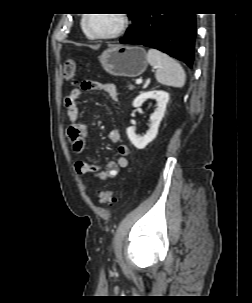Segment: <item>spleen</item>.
<instances>
[{"mask_svg":"<svg viewBox=\"0 0 252 303\" xmlns=\"http://www.w3.org/2000/svg\"><path fill=\"white\" fill-rule=\"evenodd\" d=\"M146 56L150 65L157 69L155 77L160 84L176 88L184 86L186 75L175 59L156 49H149Z\"/></svg>","mask_w":252,"mask_h":303,"instance_id":"spleen-1","label":"spleen"}]
</instances>
